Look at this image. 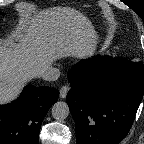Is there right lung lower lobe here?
Here are the masks:
<instances>
[{"label":"right lung lower lobe","mask_w":144,"mask_h":144,"mask_svg":"<svg viewBox=\"0 0 144 144\" xmlns=\"http://www.w3.org/2000/svg\"><path fill=\"white\" fill-rule=\"evenodd\" d=\"M58 97L55 88L28 85L17 100L0 105V144H38L42 121Z\"/></svg>","instance_id":"98d812e1"}]
</instances>
